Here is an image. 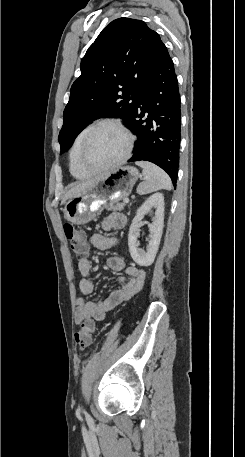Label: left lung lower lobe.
Here are the masks:
<instances>
[{"label": "left lung lower lobe", "instance_id": "left-lung-lower-lobe-1", "mask_svg": "<svg viewBox=\"0 0 245 457\" xmlns=\"http://www.w3.org/2000/svg\"><path fill=\"white\" fill-rule=\"evenodd\" d=\"M126 126L137 136L129 162L145 160L160 166L176 186L181 100L174 64L162 41L157 45L141 86L139 107Z\"/></svg>", "mask_w": 245, "mask_h": 457}]
</instances>
